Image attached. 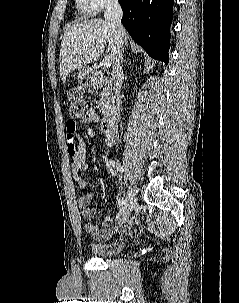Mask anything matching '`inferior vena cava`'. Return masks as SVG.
<instances>
[{
	"label": "inferior vena cava",
	"instance_id": "obj_1",
	"mask_svg": "<svg viewBox=\"0 0 239 303\" xmlns=\"http://www.w3.org/2000/svg\"><path fill=\"white\" fill-rule=\"evenodd\" d=\"M105 19L110 23V25L114 28L115 37L117 40L116 50H115V62L113 66V77H114V99L117 104L118 116H120L121 111V97L120 90L123 81V70L121 67L122 61V45L126 41V32L125 28L121 23V19L123 17V12L121 6L118 3V0H109L106 5V11L104 13Z\"/></svg>",
	"mask_w": 239,
	"mask_h": 303
}]
</instances>
